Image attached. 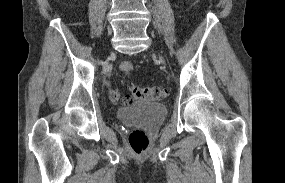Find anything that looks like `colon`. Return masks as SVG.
<instances>
[{"mask_svg":"<svg viewBox=\"0 0 285 183\" xmlns=\"http://www.w3.org/2000/svg\"><path fill=\"white\" fill-rule=\"evenodd\" d=\"M120 71L129 76L134 71V65L129 62L125 61L120 65ZM133 98L147 100V101H158L162 99L166 95V91L160 87H137L134 86L131 89ZM110 98H113L110 96ZM132 102V98H125L123 99L124 104H129ZM129 145L134 153L141 154L143 153L148 145H149V138L146 133L140 129H135L131 132L129 136Z\"/></svg>","mask_w":285,"mask_h":183,"instance_id":"1","label":"colon"}]
</instances>
